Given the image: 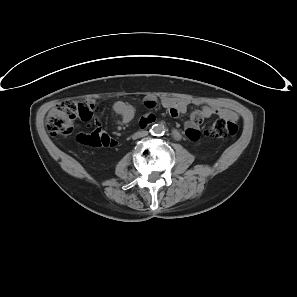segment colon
Masks as SVG:
<instances>
[{
	"mask_svg": "<svg viewBox=\"0 0 297 297\" xmlns=\"http://www.w3.org/2000/svg\"><path fill=\"white\" fill-rule=\"evenodd\" d=\"M96 112V106L84 101H65L57 104L48 114L47 131L53 135H70L75 128V121L90 123ZM238 126L234 118L221 116L208 129L210 137L226 140L236 134ZM78 141L94 147H112L115 141L100 129L89 134H80Z\"/></svg>",
	"mask_w": 297,
	"mask_h": 297,
	"instance_id": "5ec220e1",
	"label": "colon"
}]
</instances>
